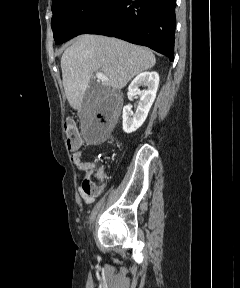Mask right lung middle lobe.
I'll return each mask as SVG.
<instances>
[{"instance_id":"1","label":"right lung middle lobe","mask_w":240,"mask_h":288,"mask_svg":"<svg viewBox=\"0 0 240 288\" xmlns=\"http://www.w3.org/2000/svg\"><path fill=\"white\" fill-rule=\"evenodd\" d=\"M112 0H53L51 26L56 44L77 35L96 19Z\"/></svg>"}]
</instances>
